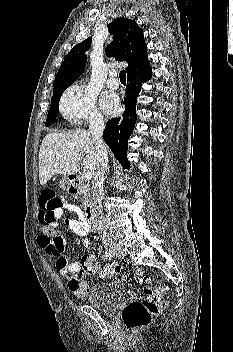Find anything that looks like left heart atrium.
I'll use <instances>...</instances> for the list:
<instances>
[{
    "label": "left heart atrium",
    "mask_w": 233,
    "mask_h": 352,
    "mask_svg": "<svg viewBox=\"0 0 233 352\" xmlns=\"http://www.w3.org/2000/svg\"><path fill=\"white\" fill-rule=\"evenodd\" d=\"M102 106L108 113H115L118 109V100L113 94H105L102 98Z\"/></svg>",
    "instance_id": "obj_1"
}]
</instances>
